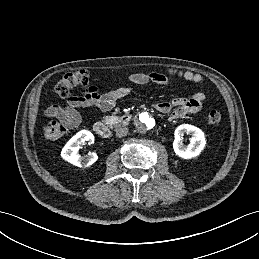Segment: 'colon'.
Wrapping results in <instances>:
<instances>
[{"instance_id": "1", "label": "colon", "mask_w": 259, "mask_h": 259, "mask_svg": "<svg viewBox=\"0 0 259 259\" xmlns=\"http://www.w3.org/2000/svg\"><path fill=\"white\" fill-rule=\"evenodd\" d=\"M89 75L86 71L80 70L66 73L56 84L55 91L62 98H69L72 91L77 87H87ZM221 121V114L213 110L207 116L208 124L214 126ZM68 130V126L62 122L51 121L44 126L43 133L47 140H57Z\"/></svg>"}]
</instances>
